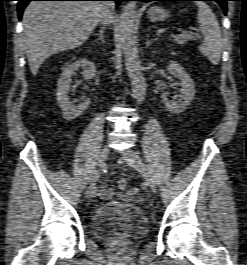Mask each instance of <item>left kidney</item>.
<instances>
[{
	"label": "left kidney",
	"mask_w": 247,
	"mask_h": 265,
	"mask_svg": "<svg viewBox=\"0 0 247 265\" xmlns=\"http://www.w3.org/2000/svg\"><path fill=\"white\" fill-rule=\"evenodd\" d=\"M167 70L180 81V95L178 101L169 100L165 95L161 96L166 109L174 114L181 113L187 109L195 95V86L192 78L186 70L176 61H170Z\"/></svg>",
	"instance_id": "1"
}]
</instances>
